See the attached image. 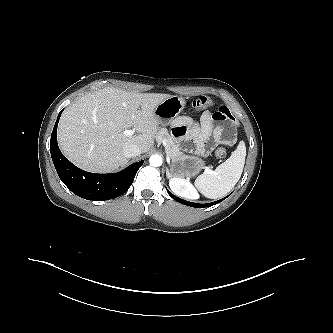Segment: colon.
<instances>
[{
  "label": "colon",
  "mask_w": 333,
  "mask_h": 333,
  "mask_svg": "<svg viewBox=\"0 0 333 333\" xmlns=\"http://www.w3.org/2000/svg\"><path fill=\"white\" fill-rule=\"evenodd\" d=\"M213 105V100L205 95L198 96L190 102V106L196 110L210 108ZM227 155V150L224 146L219 147L215 151V157L217 159H223Z\"/></svg>",
  "instance_id": "colon-1"
}]
</instances>
